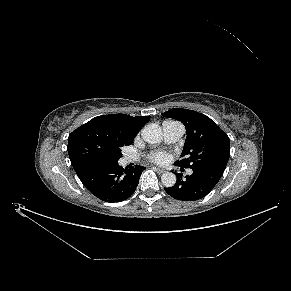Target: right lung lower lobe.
Wrapping results in <instances>:
<instances>
[{
  "mask_svg": "<svg viewBox=\"0 0 291 291\" xmlns=\"http://www.w3.org/2000/svg\"><path fill=\"white\" fill-rule=\"evenodd\" d=\"M83 185L96 197L106 202H120L135 191L143 166L123 169L118 162L102 158L82 161L73 166Z\"/></svg>",
  "mask_w": 291,
  "mask_h": 291,
  "instance_id": "98d812e1",
  "label": "right lung lower lobe"
}]
</instances>
